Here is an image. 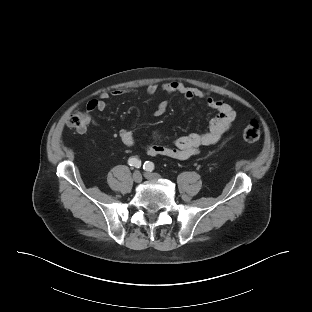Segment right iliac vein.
<instances>
[{
  "instance_id": "63e3f726",
  "label": "right iliac vein",
  "mask_w": 312,
  "mask_h": 312,
  "mask_svg": "<svg viewBox=\"0 0 312 312\" xmlns=\"http://www.w3.org/2000/svg\"><path fill=\"white\" fill-rule=\"evenodd\" d=\"M133 180L136 183H140L142 181V175H141V173L139 171H135L133 173Z\"/></svg>"
}]
</instances>
